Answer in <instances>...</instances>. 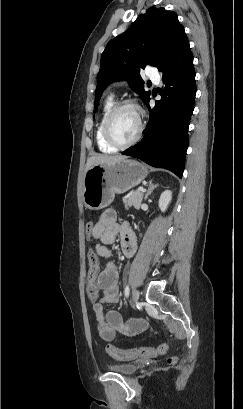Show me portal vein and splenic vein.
Instances as JSON below:
<instances>
[{
	"instance_id": "obj_1",
	"label": "portal vein and splenic vein",
	"mask_w": 243,
	"mask_h": 409,
	"mask_svg": "<svg viewBox=\"0 0 243 409\" xmlns=\"http://www.w3.org/2000/svg\"><path fill=\"white\" fill-rule=\"evenodd\" d=\"M138 190L141 191V192H145V191H146V189H144L143 187H139Z\"/></svg>"
}]
</instances>
